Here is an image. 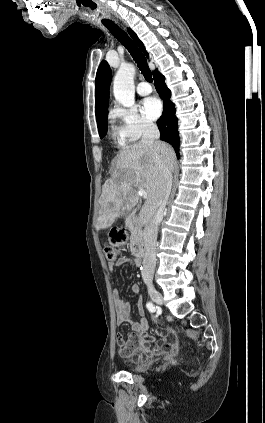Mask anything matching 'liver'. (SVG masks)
<instances>
[{
    "label": "liver",
    "mask_w": 265,
    "mask_h": 423,
    "mask_svg": "<svg viewBox=\"0 0 265 423\" xmlns=\"http://www.w3.org/2000/svg\"><path fill=\"white\" fill-rule=\"evenodd\" d=\"M163 144L165 153L162 155L173 165L174 151ZM163 181L160 162L153 148L140 142L122 148L112 162L111 177L102 188L97 229L111 226L121 213L134 208L139 201V188L146 191L147 198L139 212L138 224H148L157 210Z\"/></svg>",
    "instance_id": "6515ba94"
}]
</instances>
